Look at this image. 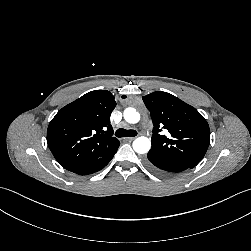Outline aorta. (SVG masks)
Segmentation results:
<instances>
[{"instance_id":"obj_1","label":"aorta","mask_w":251,"mask_h":251,"mask_svg":"<svg viewBox=\"0 0 251 251\" xmlns=\"http://www.w3.org/2000/svg\"><path fill=\"white\" fill-rule=\"evenodd\" d=\"M124 119L130 124L138 123L140 120V113L134 108H126L123 113ZM151 148V141L145 136L136 138L133 141V149L138 154H145Z\"/></svg>"}]
</instances>
